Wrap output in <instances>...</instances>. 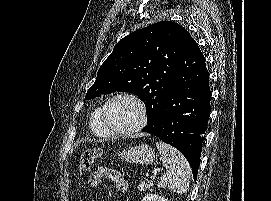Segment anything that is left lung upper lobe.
Here are the masks:
<instances>
[{
  "mask_svg": "<svg viewBox=\"0 0 271 201\" xmlns=\"http://www.w3.org/2000/svg\"><path fill=\"white\" fill-rule=\"evenodd\" d=\"M184 31L161 21L124 37L99 68L85 99L114 91L136 94L146 106V127L155 126L178 67Z\"/></svg>",
  "mask_w": 271,
  "mask_h": 201,
  "instance_id": "left-lung-upper-lobe-1",
  "label": "left lung upper lobe"
}]
</instances>
